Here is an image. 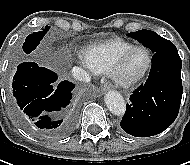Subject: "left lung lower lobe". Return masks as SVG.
Segmentation results:
<instances>
[{
    "instance_id": "left-lung-lower-lobe-1",
    "label": "left lung lower lobe",
    "mask_w": 190,
    "mask_h": 165,
    "mask_svg": "<svg viewBox=\"0 0 190 165\" xmlns=\"http://www.w3.org/2000/svg\"><path fill=\"white\" fill-rule=\"evenodd\" d=\"M181 58L174 44L155 52L148 80L130 96L121 128L136 137L159 134L176 119L181 98Z\"/></svg>"
}]
</instances>
